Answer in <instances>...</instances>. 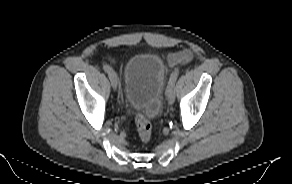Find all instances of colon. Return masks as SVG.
<instances>
[{"label":"colon","instance_id":"colon-1","mask_svg":"<svg viewBox=\"0 0 292 184\" xmlns=\"http://www.w3.org/2000/svg\"><path fill=\"white\" fill-rule=\"evenodd\" d=\"M135 122L138 135L141 141L148 142L152 135V124L141 112L135 114Z\"/></svg>","mask_w":292,"mask_h":184}]
</instances>
